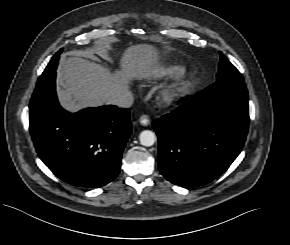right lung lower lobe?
<instances>
[{
  "mask_svg": "<svg viewBox=\"0 0 290 245\" xmlns=\"http://www.w3.org/2000/svg\"><path fill=\"white\" fill-rule=\"evenodd\" d=\"M56 71L43 73L29 105V128L41 160L61 180L101 187L114 180L130 137L129 109L113 105L65 111L55 90Z\"/></svg>",
  "mask_w": 290,
  "mask_h": 245,
  "instance_id": "1",
  "label": "right lung lower lobe"
}]
</instances>
